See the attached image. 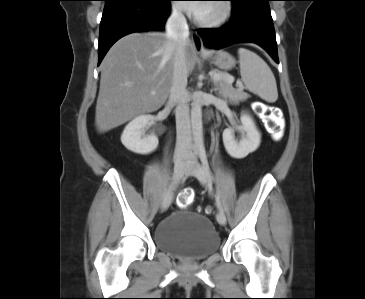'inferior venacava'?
Segmentation results:
<instances>
[{
    "instance_id": "obj_1",
    "label": "inferior vena cava",
    "mask_w": 365,
    "mask_h": 299,
    "mask_svg": "<svg viewBox=\"0 0 365 299\" xmlns=\"http://www.w3.org/2000/svg\"><path fill=\"white\" fill-rule=\"evenodd\" d=\"M166 34L175 47L173 79L169 102L176 104V148L175 159L191 154L192 132L189 116V96L186 90L188 71L185 59V46L189 39V28L182 12L173 8L166 22Z\"/></svg>"
}]
</instances>
